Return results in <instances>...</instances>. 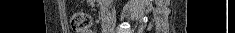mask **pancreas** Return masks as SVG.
<instances>
[{"label": "pancreas", "mask_w": 235, "mask_h": 33, "mask_svg": "<svg viewBox=\"0 0 235 33\" xmlns=\"http://www.w3.org/2000/svg\"><path fill=\"white\" fill-rule=\"evenodd\" d=\"M103 0H99V4L102 6Z\"/></svg>", "instance_id": "cf45deb5"}]
</instances>
